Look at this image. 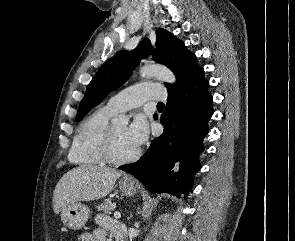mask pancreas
Instances as JSON below:
<instances>
[{
	"label": "pancreas",
	"instance_id": "obj_1",
	"mask_svg": "<svg viewBox=\"0 0 295 241\" xmlns=\"http://www.w3.org/2000/svg\"><path fill=\"white\" fill-rule=\"evenodd\" d=\"M116 207L115 203L111 202L110 199L105 200L102 204H100L97 209L98 211L110 214L112 210Z\"/></svg>",
	"mask_w": 295,
	"mask_h": 241
}]
</instances>
